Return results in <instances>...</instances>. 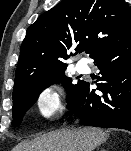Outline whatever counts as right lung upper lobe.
<instances>
[{
    "instance_id": "right-lung-upper-lobe-1",
    "label": "right lung upper lobe",
    "mask_w": 131,
    "mask_h": 151,
    "mask_svg": "<svg viewBox=\"0 0 131 151\" xmlns=\"http://www.w3.org/2000/svg\"><path fill=\"white\" fill-rule=\"evenodd\" d=\"M131 32V10L124 0H62L28 27L14 89L38 76L66 67L68 50L90 56Z\"/></svg>"
}]
</instances>
